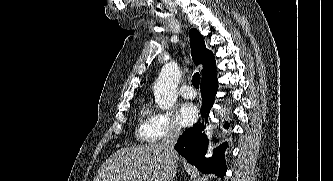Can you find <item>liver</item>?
<instances>
[{"label":"liver","instance_id":"6515ba94","mask_svg":"<svg viewBox=\"0 0 333 181\" xmlns=\"http://www.w3.org/2000/svg\"><path fill=\"white\" fill-rule=\"evenodd\" d=\"M168 164L161 143L123 148L101 165L93 181H165Z\"/></svg>","mask_w":333,"mask_h":181}]
</instances>
